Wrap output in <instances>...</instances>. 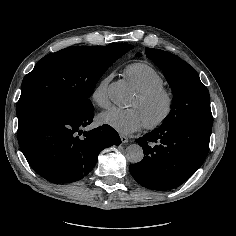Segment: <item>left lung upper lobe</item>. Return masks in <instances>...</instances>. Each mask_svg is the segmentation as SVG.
<instances>
[{"label":"left lung upper lobe","mask_w":236,"mask_h":236,"mask_svg":"<svg viewBox=\"0 0 236 236\" xmlns=\"http://www.w3.org/2000/svg\"><path fill=\"white\" fill-rule=\"evenodd\" d=\"M145 53L163 71L173 92L171 111L161 127L186 122L212 125L209 92L200 81L198 73L169 52L150 48Z\"/></svg>","instance_id":"1"}]
</instances>
